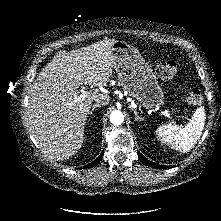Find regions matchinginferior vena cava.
Instances as JSON below:
<instances>
[{"label":"inferior vena cava","instance_id":"1","mask_svg":"<svg viewBox=\"0 0 221 221\" xmlns=\"http://www.w3.org/2000/svg\"><path fill=\"white\" fill-rule=\"evenodd\" d=\"M109 100H110L109 97L103 94H97L94 97V101L99 105H107L109 104Z\"/></svg>","mask_w":221,"mask_h":221}]
</instances>
